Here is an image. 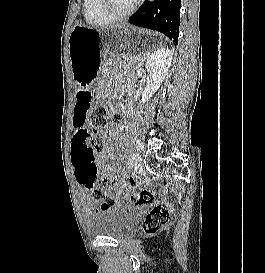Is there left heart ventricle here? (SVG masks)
<instances>
[{
    "mask_svg": "<svg viewBox=\"0 0 265 273\" xmlns=\"http://www.w3.org/2000/svg\"><path fill=\"white\" fill-rule=\"evenodd\" d=\"M135 0H110L109 8L113 13L119 14L127 11Z\"/></svg>",
    "mask_w": 265,
    "mask_h": 273,
    "instance_id": "1",
    "label": "left heart ventricle"
}]
</instances>
